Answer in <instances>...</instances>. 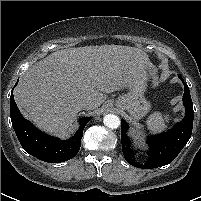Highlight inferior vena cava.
<instances>
[{"label":"inferior vena cava","instance_id":"obj_1","mask_svg":"<svg viewBox=\"0 0 201 201\" xmlns=\"http://www.w3.org/2000/svg\"><path fill=\"white\" fill-rule=\"evenodd\" d=\"M94 107V104L90 101H82L78 103V108L80 110H90Z\"/></svg>","mask_w":201,"mask_h":201}]
</instances>
